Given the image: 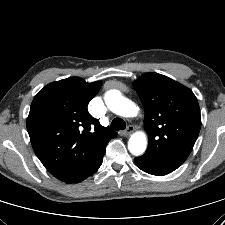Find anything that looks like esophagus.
Returning a JSON list of instances; mask_svg holds the SVG:
<instances>
[{
    "instance_id": "esophagus-1",
    "label": "esophagus",
    "mask_w": 225,
    "mask_h": 225,
    "mask_svg": "<svg viewBox=\"0 0 225 225\" xmlns=\"http://www.w3.org/2000/svg\"><path fill=\"white\" fill-rule=\"evenodd\" d=\"M134 130H135V127H134L133 125H129V126L126 128L124 134H125L126 136H127V135H130L131 133L134 132Z\"/></svg>"
}]
</instances>
